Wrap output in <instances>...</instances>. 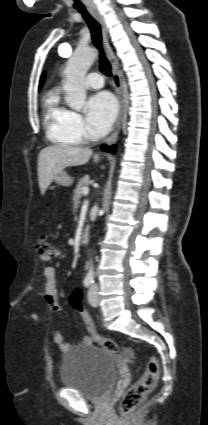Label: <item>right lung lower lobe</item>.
<instances>
[{
	"label": "right lung lower lobe",
	"mask_w": 208,
	"mask_h": 425,
	"mask_svg": "<svg viewBox=\"0 0 208 425\" xmlns=\"http://www.w3.org/2000/svg\"><path fill=\"white\" fill-rule=\"evenodd\" d=\"M102 148H103L104 150H106V151H109V150H110V151H112V152H114V151H115V146H114V145H113V146H111V148H108L107 146H105V145H104Z\"/></svg>",
	"instance_id": "1"
}]
</instances>
